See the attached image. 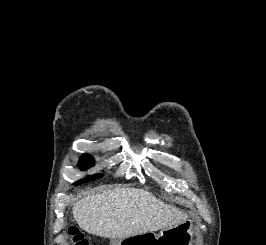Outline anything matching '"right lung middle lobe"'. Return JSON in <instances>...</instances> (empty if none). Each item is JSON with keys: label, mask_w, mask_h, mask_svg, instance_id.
<instances>
[{"label": "right lung middle lobe", "mask_w": 266, "mask_h": 245, "mask_svg": "<svg viewBox=\"0 0 266 245\" xmlns=\"http://www.w3.org/2000/svg\"><path fill=\"white\" fill-rule=\"evenodd\" d=\"M78 165H79L81 170H87L88 168H90L91 166L94 165V160L91 156L83 155L80 158ZM99 177H101V175H95V176L87 177L85 180L76 182L75 184H80L82 182H88L91 180H95L96 178H99Z\"/></svg>", "instance_id": "dd1d6c3e"}]
</instances>
